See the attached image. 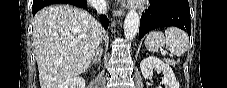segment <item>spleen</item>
<instances>
[{"instance_id": "1", "label": "spleen", "mask_w": 227, "mask_h": 88, "mask_svg": "<svg viewBox=\"0 0 227 88\" xmlns=\"http://www.w3.org/2000/svg\"><path fill=\"white\" fill-rule=\"evenodd\" d=\"M145 47L150 52H156L161 47H166L171 54L181 56L189 47L188 35L176 27H170L164 33L150 32L145 39Z\"/></svg>"}]
</instances>
